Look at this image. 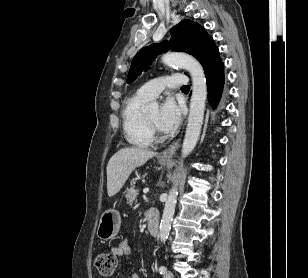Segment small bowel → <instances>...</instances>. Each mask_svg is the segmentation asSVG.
<instances>
[{"instance_id": "small-bowel-1", "label": "small bowel", "mask_w": 308, "mask_h": 278, "mask_svg": "<svg viewBox=\"0 0 308 278\" xmlns=\"http://www.w3.org/2000/svg\"><path fill=\"white\" fill-rule=\"evenodd\" d=\"M111 252L116 256H129L131 254V250L129 244L126 240H122L118 242L112 249ZM130 278H139L137 274L131 273Z\"/></svg>"}]
</instances>
